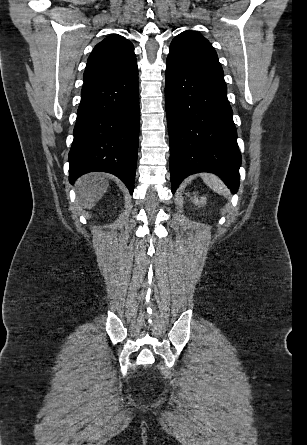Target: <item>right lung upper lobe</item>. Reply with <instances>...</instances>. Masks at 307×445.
I'll use <instances>...</instances> for the list:
<instances>
[{
    "label": "right lung upper lobe",
    "instance_id": "cb5924a9",
    "mask_svg": "<svg viewBox=\"0 0 307 445\" xmlns=\"http://www.w3.org/2000/svg\"><path fill=\"white\" fill-rule=\"evenodd\" d=\"M137 64L133 44L113 34L95 46L84 72V83L122 74Z\"/></svg>",
    "mask_w": 307,
    "mask_h": 445
}]
</instances>
